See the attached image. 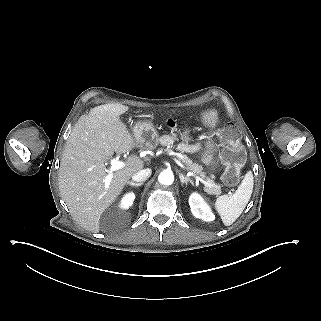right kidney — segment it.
Returning a JSON list of instances; mask_svg holds the SVG:
<instances>
[{"label": "right kidney", "instance_id": "right-kidney-1", "mask_svg": "<svg viewBox=\"0 0 321 321\" xmlns=\"http://www.w3.org/2000/svg\"><path fill=\"white\" fill-rule=\"evenodd\" d=\"M133 200H134V194L126 195L122 200V206L124 208L130 207L132 205Z\"/></svg>", "mask_w": 321, "mask_h": 321}]
</instances>
